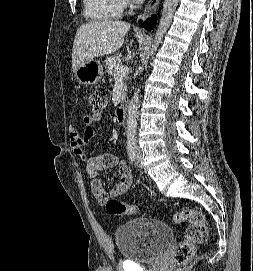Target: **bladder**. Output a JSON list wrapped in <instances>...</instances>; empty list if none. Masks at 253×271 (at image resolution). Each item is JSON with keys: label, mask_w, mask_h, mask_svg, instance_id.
<instances>
[{"label": "bladder", "mask_w": 253, "mask_h": 271, "mask_svg": "<svg viewBox=\"0 0 253 271\" xmlns=\"http://www.w3.org/2000/svg\"><path fill=\"white\" fill-rule=\"evenodd\" d=\"M172 239V228L155 218L129 220L115 231L120 256L135 262L155 261Z\"/></svg>", "instance_id": "31cf9c89"}]
</instances>
